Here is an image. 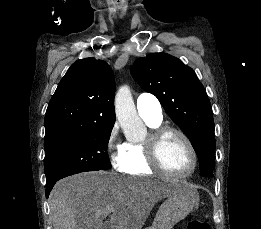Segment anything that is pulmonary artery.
<instances>
[{
  "mask_svg": "<svg viewBox=\"0 0 261 229\" xmlns=\"http://www.w3.org/2000/svg\"><path fill=\"white\" fill-rule=\"evenodd\" d=\"M137 111L141 118L152 122H160L163 119V109L160 101L152 94L141 93L136 100Z\"/></svg>",
  "mask_w": 261,
  "mask_h": 229,
  "instance_id": "e3ab8cb5",
  "label": "pulmonary artery"
}]
</instances>
